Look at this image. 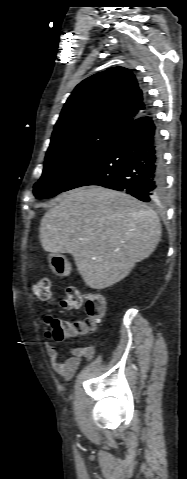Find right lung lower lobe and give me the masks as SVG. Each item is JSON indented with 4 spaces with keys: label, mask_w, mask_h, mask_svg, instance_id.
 Here are the masks:
<instances>
[{
    "label": "right lung lower lobe",
    "mask_w": 187,
    "mask_h": 479,
    "mask_svg": "<svg viewBox=\"0 0 187 479\" xmlns=\"http://www.w3.org/2000/svg\"><path fill=\"white\" fill-rule=\"evenodd\" d=\"M99 185L124 191L151 202L165 192V171L161 136L155 117L147 112L132 121L64 191Z\"/></svg>",
    "instance_id": "98d812e1"
}]
</instances>
